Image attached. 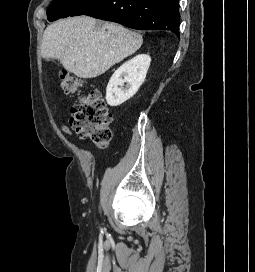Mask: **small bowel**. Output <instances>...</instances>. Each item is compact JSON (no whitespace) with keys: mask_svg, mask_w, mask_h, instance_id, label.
<instances>
[{"mask_svg":"<svg viewBox=\"0 0 255 272\" xmlns=\"http://www.w3.org/2000/svg\"><path fill=\"white\" fill-rule=\"evenodd\" d=\"M61 129H62V131H63L64 134H66V135H70L71 134L69 128L66 125H62Z\"/></svg>","mask_w":255,"mask_h":272,"instance_id":"c3829d8e","label":"small bowel"}]
</instances>
